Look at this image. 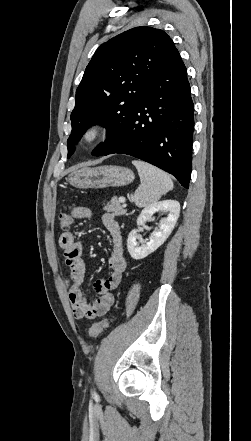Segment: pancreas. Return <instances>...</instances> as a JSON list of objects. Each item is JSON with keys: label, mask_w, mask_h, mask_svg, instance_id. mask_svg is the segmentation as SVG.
Masks as SVG:
<instances>
[{"label": "pancreas", "mask_w": 251, "mask_h": 441, "mask_svg": "<svg viewBox=\"0 0 251 441\" xmlns=\"http://www.w3.org/2000/svg\"><path fill=\"white\" fill-rule=\"evenodd\" d=\"M103 209L107 212H111L115 216H121L126 213V209L117 197H113L110 202L103 207Z\"/></svg>", "instance_id": "pancreas-1"}]
</instances>
